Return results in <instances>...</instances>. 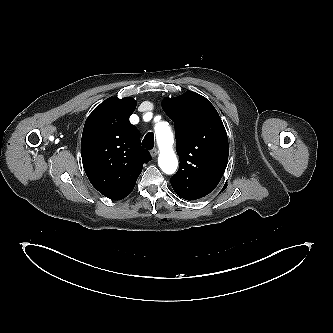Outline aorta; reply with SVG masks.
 Instances as JSON below:
<instances>
[{
    "mask_svg": "<svg viewBox=\"0 0 333 333\" xmlns=\"http://www.w3.org/2000/svg\"><path fill=\"white\" fill-rule=\"evenodd\" d=\"M157 143L160 149L158 157L159 167L166 174H172L176 171L178 160L173 150V133L166 122H160L155 126Z\"/></svg>",
    "mask_w": 333,
    "mask_h": 333,
    "instance_id": "aorta-1",
    "label": "aorta"
}]
</instances>
